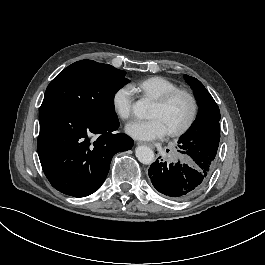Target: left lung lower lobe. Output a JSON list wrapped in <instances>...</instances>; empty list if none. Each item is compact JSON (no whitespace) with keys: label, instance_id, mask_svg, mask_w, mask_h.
<instances>
[{"label":"left lung lower lobe","instance_id":"obj_1","mask_svg":"<svg viewBox=\"0 0 265 265\" xmlns=\"http://www.w3.org/2000/svg\"><path fill=\"white\" fill-rule=\"evenodd\" d=\"M211 172V165L199 161L192 160L190 164H167L157 159L150 166L148 174L157 191L172 200L184 201L203 188Z\"/></svg>","mask_w":265,"mask_h":265}]
</instances>
